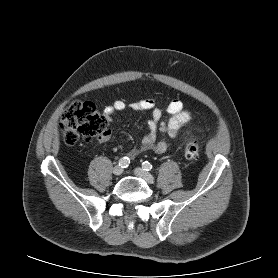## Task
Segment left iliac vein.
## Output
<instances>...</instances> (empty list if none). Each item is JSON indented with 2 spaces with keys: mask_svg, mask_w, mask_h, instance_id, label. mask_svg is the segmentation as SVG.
Returning a JSON list of instances; mask_svg holds the SVG:
<instances>
[{
  "mask_svg": "<svg viewBox=\"0 0 278 278\" xmlns=\"http://www.w3.org/2000/svg\"><path fill=\"white\" fill-rule=\"evenodd\" d=\"M134 174L142 179H144L147 183L149 184H153L154 183V177L146 172L144 169L142 168H135L134 170Z\"/></svg>",
  "mask_w": 278,
  "mask_h": 278,
  "instance_id": "4c4485c4",
  "label": "left iliac vein"
}]
</instances>
